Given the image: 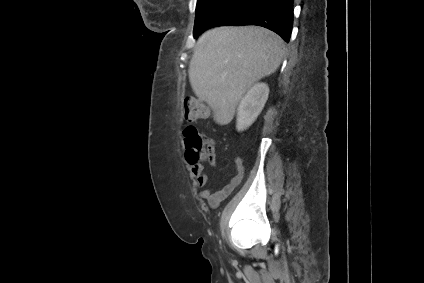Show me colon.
Listing matches in <instances>:
<instances>
[{
	"label": "colon",
	"instance_id": "colon-1",
	"mask_svg": "<svg viewBox=\"0 0 424 283\" xmlns=\"http://www.w3.org/2000/svg\"><path fill=\"white\" fill-rule=\"evenodd\" d=\"M207 114L206 107L196 99H187L184 103V118L188 122H193ZM186 144L189 148L188 159L196 163L201 160L214 163V142L203 135L193 126L185 130Z\"/></svg>",
	"mask_w": 424,
	"mask_h": 283
}]
</instances>
